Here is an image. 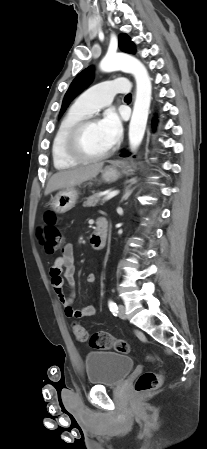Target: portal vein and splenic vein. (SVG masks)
<instances>
[{"label":"portal vein and splenic vein","instance_id":"18ae733b","mask_svg":"<svg viewBox=\"0 0 207 449\" xmlns=\"http://www.w3.org/2000/svg\"><path fill=\"white\" fill-rule=\"evenodd\" d=\"M118 193H119V191H113V192L107 194V195L104 197L103 200H104V201L110 200V199H112L113 197H115L116 195H118Z\"/></svg>","mask_w":207,"mask_h":449}]
</instances>
